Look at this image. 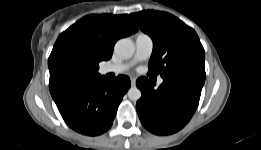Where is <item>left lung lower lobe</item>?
Returning a JSON list of instances; mask_svg holds the SVG:
<instances>
[{
  "label": "left lung lower lobe",
  "mask_w": 261,
  "mask_h": 150,
  "mask_svg": "<svg viewBox=\"0 0 261 150\" xmlns=\"http://www.w3.org/2000/svg\"><path fill=\"white\" fill-rule=\"evenodd\" d=\"M158 89L146 77L136 81L141 98L136 103L141 123L150 132L168 135L183 128L194 114L205 81V75L182 71L162 77Z\"/></svg>",
  "instance_id": "obj_1"
}]
</instances>
